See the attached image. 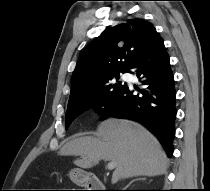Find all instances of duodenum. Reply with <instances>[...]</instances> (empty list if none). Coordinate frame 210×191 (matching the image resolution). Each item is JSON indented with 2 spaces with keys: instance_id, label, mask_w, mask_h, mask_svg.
<instances>
[{
  "instance_id": "duodenum-1",
  "label": "duodenum",
  "mask_w": 210,
  "mask_h": 191,
  "mask_svg": "<svg viewBox=\"0 0 210 191\" xmlns=\"http://www.w3.org/2000/svg\"><path fill=\"white\" fill-rule=\"evenodd\" d=\"M76 173L77 180L84 184L90 191H104V183L97 176L85 172L82 169L77 170Z\"/></svg>"
}]
</instances>
